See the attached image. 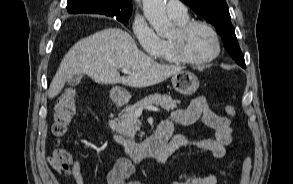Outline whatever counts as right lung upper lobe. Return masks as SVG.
Masks as SVG:
<instances>
[{"label": "right lung upper lobe", "mask_w": 293, "mask_h": 184, "mask_svg": "<svg viewBox=\"0 0 293 184\" xmlns=\"http://www.w3.org/2000/svg\"><path fill=\"white\" fill-rule=\"evenodd\" d=\"M132 0H68L67 11L71 14L90 13L107 16L131 15Z\"/></svg>", "instance_id": "obj_1"}]
</instances>
